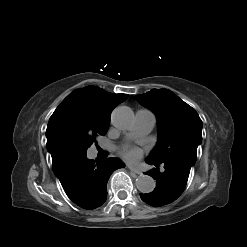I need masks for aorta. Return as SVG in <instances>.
<instances>
[{"mask_svg":"<svg viewBox=\"0 0 247 247\" xmlns=\"http://www.w3.org/2000/svg\"><path fill=\"white\" fill-rule=\"evenodd\" d=\"M112 123L118 129H128L134 120L133 111L127 106H119L112 112ZM136 187L142 193H150L155 188V181L148 175H141L136 179Z\"/></svg>","mask_w":247,"mask_h":247,"instance_id":"1","label":"aorta"}]
</instances>
